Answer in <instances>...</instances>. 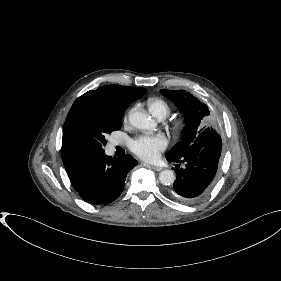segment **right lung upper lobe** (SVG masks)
<instances>
[{"instance_id":"1","label":"right lung upper lobe","mask_w":281,"mask_h":281,"mask_svg":"<svg viewBox=\"0 0 281 281\" xmlns=\"http://www.w3.org/2000/svg\"><path fill=\"white\" fill-rule=\"evenodd\" d=\"M144 88H134L121 85H105L95 91H88L85 94L118 108H127L129 104L141 98L145 93Z\"/></svg>"}]
</instances>
